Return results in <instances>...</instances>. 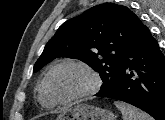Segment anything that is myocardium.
Wrapping results in <instances>:
<instances>
[{
  "label": "myocardium",
  "instance_id": "obj_1",
  "mask_svg": "<svg viewBox=\"0 0 165 120\" xmlns=\"http://www.w3.org/2000/svg\"><path fill=\"white\" fill-rule=\"evenodd\" d=\"M64 66H75V67H79L82 70H84L90 77L91 79V84L90 86L84 90L83 92L67 98V99H60L57 98L51 91L50 89V85H49V81H50V77L51 75L59 68L64 67ZM43 84H44V89L47 93V95L49 96V98L52 100V102L54 104H71L83 99H86L88 97L93 96L94 94H96L100 87H101V79L100 76L98 75V73L86 62H83L81 60H75V59H66V60H62L56 64H54L46 73L44 79H43Z\"/></svg>",
  "mask_w": 165,
  "mask_h": 120
}]
</instances>
